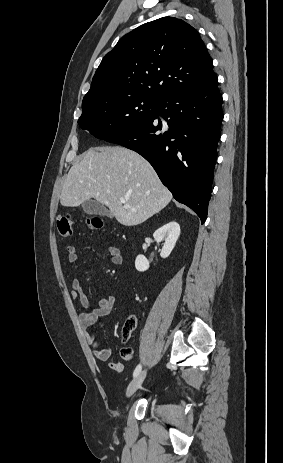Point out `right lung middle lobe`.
<instances>
[{"mask_svg":"<svg viewBox=\"0 0 283 463\" xmlns=\"http://www.w3.org/2000/svg\"><path fill=\"white\" fill-rule=\"evenodd\" d=\"M159 101L140 95H111L82 105L78 124L97 138L108 140L145 122Z\"/></svg>","mask_w":283,"mask_h":463,"instance_id":"right-lung-middle-lobe-1","label":"right lung middle lobe"}]
</instances>
